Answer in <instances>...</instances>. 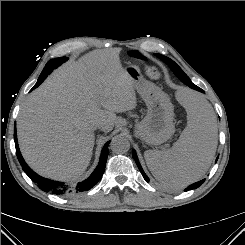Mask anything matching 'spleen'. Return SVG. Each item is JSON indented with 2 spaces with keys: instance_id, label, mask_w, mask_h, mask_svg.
<instances>
[{
  "instance_id": "1",
  "label": "spleen",
  "mask_w": 245,
  "mask_h": 245,
  "mask_svg": "<svg viewBox=\"0 0 245 245\" xmlns=\"http://www.w3.org/2000/svg\"><path fill=\"white\" fill-rule=\"evenodd\" d=\"M183 105L187 110V126L172 148L144 153L155 179L177 188L200 180L217 148V121L209 102L188 91L184 94Z\"/></svg>"
}]
</instances>
